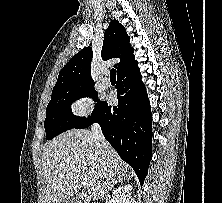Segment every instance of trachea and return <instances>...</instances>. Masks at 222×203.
<instances>
[{"label":"trachea","instance_id":"3493384b","mask_svg":"<svg viewBox=\"0 0 222 203\" xmlns=\"http://www.w3.org/2000/svg\"><path fill=\"white\" fill-rule=\"evenodd\" d=\"M110 79L116 80V69H111L110 71Z\"/></svg>","mask_w":222,"mask_h":203}]
</instances>
